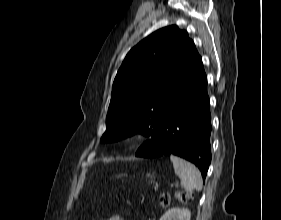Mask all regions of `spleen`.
<instances>
[{
  "label": "spleen",
  "mask_w": 281,
  "mask_h": 220,
  "mask_svg": "<svg viewBox=\"0 0 281 220\" xmlns=\"http://www.w3.org/2000/svg\"><path fill=\"white\" fill-rule=\"evenodd\" d=\"M170 160L173 163L176 175L181 179L182 187L191 191L193 189L200 191L203 186V181L200 171L192 163L171 155Z\"/></svg>",
  "instance_id": "1"
}]
</instances>
